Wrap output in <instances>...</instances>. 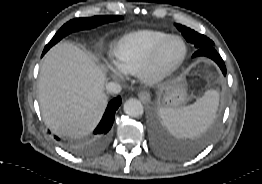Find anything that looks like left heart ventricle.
Listing matches in <instances>:
<instances>
[{"label":"left heart ventricle","instance_id":"obj_1","mask_svg":"<svg viewBox=\"0 0 262 184\" xmlns=\"http://www.w3.org/2000/svg\"><path fill=\"white\" fill-rule=\"evenodd\" d=\"M182 50L183 48L179 41L171 42L163 54L162 61L164 63L175 61L181 55Z\"/></svg>","mask_w":262,"mask_h":184}]
</instances>
